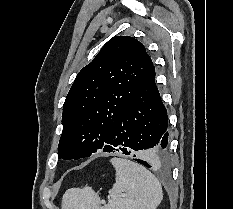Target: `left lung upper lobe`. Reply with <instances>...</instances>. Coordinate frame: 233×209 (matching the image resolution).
Masks as SVG:
<instances>
[{
  "label": "left lung upper lobe",
  "mask_w": 233,
  "mask_h": 209,
  "mask_svg": "<svg viewBox=\"0 0 233 209\" xmlns=\"http://www.w3.org/2000/svg\"><path fill=\"white\" fill-rule=\"evenodd\" d=\"M152 65L135 38L110 39L77 74L69 90L63 105L59 157L80 159L103 150L113 123Z\"/></svg>",
  "instance_id": "left-lung-upper-lobe-1"
}]
</instances>
